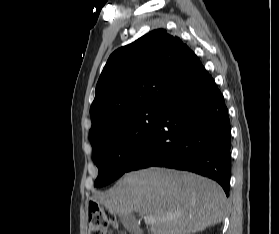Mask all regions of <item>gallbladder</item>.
<instances>
[{
    "mask_svg": "<svg viewBox=\"0 0 279 234\" xmlns=\"http://www.w3.org/2000/svg\"><path fill=\"white\" fill-rule=\"evenodd\" d=\"M120 220L124 227L132 232V234H139V227L137 225L136 219L132 214L120 215Z\"/></svg>",
    "mask_w": 279,
    "mask_h": 234,
    "instance_id": "bac80fb5",
    "label": "gallbladder"
}]
</instances>
